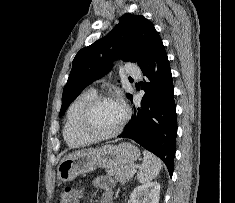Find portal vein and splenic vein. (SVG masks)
I'll list each match as a JSON object with an SVG mask.
<instances>
[{"label":"portal vein and splenic vein","mask_w":235,"mask_h":203,"mask_svg":"<svg viewBox=\"0 0 235 203\" xmlns=\"http://www.w3.org/2000/svg\"><path fill=\"white\" fill-rule=\"evenodd\" d=\"M132 172H133V173H135V172H136L135 168H133V169H132Z\"/></svg>","instance_id":"18ae733b"}]
</instances>
